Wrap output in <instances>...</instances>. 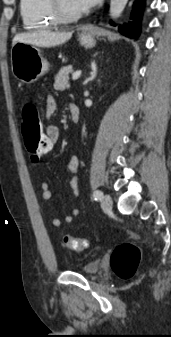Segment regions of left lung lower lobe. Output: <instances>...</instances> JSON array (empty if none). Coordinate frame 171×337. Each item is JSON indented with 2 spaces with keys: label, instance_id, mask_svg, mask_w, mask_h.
Masks as SVG:
<instances>
[{
  "label": "left lung lower lobe",
  "instance_id": "left-lung-lower-lobe-1",
  "mask_svg": "<svg viewBox=\"0 0 171 337\" xmlns=\"http://www.w3.org/2000/svg\"><path fill=\"white\" fill-rule=\"evenodd\" d=\"M144 5L143 0H137L134 9L132 12V18L135 19L134 22H130L128 24H124L123 26H119V32L122 33L125 36H128L130 38L137 37L140 32V18H141V11L142 6ZM140 11V12H139ZM115 26L114 23H111Z\"/></svg>",
  "mask_w": 171,
  "mask_h": 337
}]
</instances>
